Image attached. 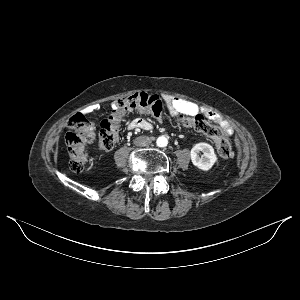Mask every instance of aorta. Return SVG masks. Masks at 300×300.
<instances>
[{
	"label": "aorta",
	"instance_id": "1",
	"mask_svg": "<svg viewBox=\"0 0 300 300\" xmlns=\"http://www.w3.org/2000/svg\"><path fill=\"white\" fill-rule=\"evenodd\" d=\"M158 147H166L168 145V139L165 136H159L156 140Z\"/></svg>",
	"mask_w": 300,
	"mask_h": 300
}]
</instances>
